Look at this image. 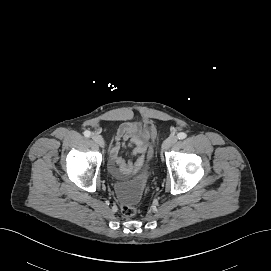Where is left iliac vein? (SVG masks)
Instances as JSON below:
<instances>
[{
  "mask_svg": "<svg viewBox=\"0 0 271 271\" xmlns=\"http://www.w3.org/2000/svg\"><path fill=\"white\" fill-rule=\"evenodd\" d=\"M177 140H178V139H177L176 136H170V137H168V138L164 141V143H163V145H162V150L164 151V150L169 149L171 146H173L174 144H176Z\"/></svg>",
  "mask_w": 271,
  "mask_h": 271,
  "instance_id": "1",
  "label": "left iliac vein"
}]
</instances>
